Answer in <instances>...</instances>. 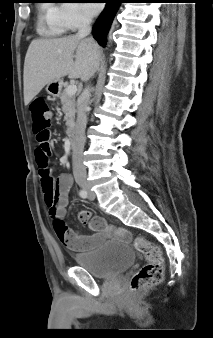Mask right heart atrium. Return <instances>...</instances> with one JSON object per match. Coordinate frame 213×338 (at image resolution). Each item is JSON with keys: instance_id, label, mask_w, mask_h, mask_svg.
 Segmentation results:
<instances>
[{"instance_id": "right-heart-atrium-1", "label": "right heart atrium", "mask_w": 213, "mask_h": 338, "mask_svg": "<svg viewBox=\"0 0 213 338\" xmlns=\"http://www.w3.org/2000/svg\"><path fill=\"white\" fill-rule=\"evenodd\" d=\"M59 17L69 30H75L90 22V17L79 3H62L59 6Z\"/></svg>"}]
</instances>
